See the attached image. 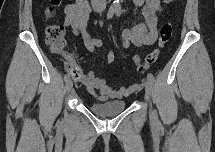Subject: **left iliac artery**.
Listing matches in <instances>:
<instances>
[{
    "mask_svg": "<svg viewBox=\"0 0 215 152\" xmlns=\"http://www.w3.org/2000/svg\"><path fill=\"white\" fill-rule=\"evenodd\" d=\"M120 14H121V9L120 8L116 9V15L119 16ZM147 77H148V80H150L151 82L155 81V78L151 73H148Z\"/></svg>",
    "mask_w": 215,
    "mask_h": 152,
    "instance_id": "1",
    "label": "left iliac artery"
}]
</instances>
